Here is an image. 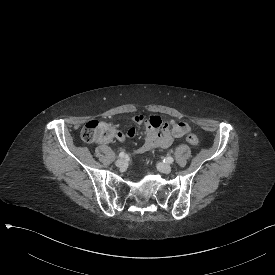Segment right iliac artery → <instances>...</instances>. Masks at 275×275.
<instances>
[{
    "instance_id": "obj_1",
    "label": "right iliac artery",
    "mask_w": 275,
    "mask_h": 275,
    "mask_svg": "<svg viewBox=\"0 0 275 275\" xmlns=\"http://www.w3.org/2000/svg\"><path fill=\"white\" fill-rule=\"evenodd\" d=\"M127 155H126V153L125 152H120V154H119V157L120 158H125Z\"/></svg>"
}]
</instances>
